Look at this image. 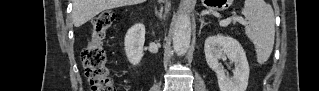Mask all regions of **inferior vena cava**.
Returning <instances> with one entry per match:
<instances>
[{"mask_svg": "<svg viewBox=\"0 0 319 91\" xmlns=\"http://www.w3.org/2000/svg\"><path fill=\"white\" fill-rule=\"evenodd\" d=\"M159 2H166V3H168V0H159Z\"/></svg>", "mask_w": 319, "mask_h": 91, "instance_id": "inferior-vena-cava-1", "label": "inferior vena cava"}]
</instances>
